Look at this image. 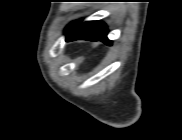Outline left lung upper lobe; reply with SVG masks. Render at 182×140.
<instances>
[{"instance_id":"5c2ea615","label":"left lung upper lobe","mask_w":182,"mask_h":140,"mask_svg":"<svg viewBox=\"0 0 182 140\" xmlns=\"http://www.w3.org/2000/svg\"><path fill=\"white\" fill-rule=\"evenodd\" d=\"M80 22L79 21H75V22H72L71 24H69L67 27H66V32H68L69 30H71L72 28H74L76 25H78Z\"/></svg>"}]
</instances>
